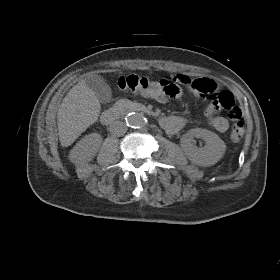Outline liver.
Returning <instances> with one entry per match:
<instances>
[{
  "label": "liver",
  "mask_w": 280,
  "mask_h": 280,
  "mask_svg": "<svg viewBox=\"0 0 280 280\" xmlns=\"http://www.w3.org/2000/svg\"><path fill=\"white\" fill-rule=\"evenodd\" d=\"M101 105L95 92L81 80L67 93L58 110V134L62 146L71 145L98 120Z\"/></svg>",
  "instance_id": "1"
}]
</instances>
